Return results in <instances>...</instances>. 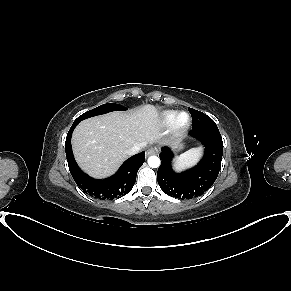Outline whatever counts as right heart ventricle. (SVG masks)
<instances>
[{
    "mask_svg": "<svg viewBox=\"0 0 291 291\" xmlns=\"http://www.w3.org/2000/svg\"><path fill=\"white\" fill-rule=\"evenodd\" d=\"M175 114H176V112H174V111H164L160 115V124L163 127H166V126L170 125Z\"/></svg>",
    "mask_w": 291,
    "mask_h": 291,
    "instance_id": "e07e8e85",
    "label": "right heart ventricle"
}]
</instances>
